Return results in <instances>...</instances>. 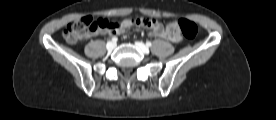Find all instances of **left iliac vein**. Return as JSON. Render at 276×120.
<instances>
[{
    "label": "left iliac vein",
    "mask_w": 276,
    "mask_h": 120,
    "mask_svg": "<svg viewBox=\"0 0 276 120\" xmlns=\"http://www.w3.org/2000/svg\"><path fill=\"white\" fill-rule=\"evenodd\" d=\"M135 44H136V47L139 50H141L143 53L145 54L149 53V48L146 45H144L142 42H136Z\"/></svg>",
    "instance_id": "left-iliac-vein-1"
}]
</instances>
